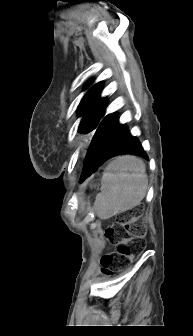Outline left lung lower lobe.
<instances>
[{"instance_id": "left-lung-lower-lobe-1", "label": "left lung lower lobe", "mask_w": 193, "mask_h": 336, "mask_svg": "<svg viewBox=\"0 0 193 336\" xmlns=\"http://www.w3.org/2000/svg\"><path fill=\"white\" fill-rule=\"evenodd\" d=\"M132 154L147 159L136 137L125 125L118 123L115 113L106 116L99 124L87 152L80 182L95 172L106 160L117 155Z\"/></svg>"}]
</instances>
